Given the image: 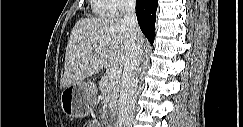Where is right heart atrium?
<instances>
[{
  "instance_id": "obj_1",
  "label": "right heart atrium",
  "mask_w": 243,
  "mask_h": 127,
  "mask_svg": "<svg viewBox=\"0 0 243 127\" xmlns=\"http://www.w3.org/2000/svg\"><path fill=\"white\" fill-rule=\"evenodd\" d=\"M111 3L110 14L113 16L123 15L130 10L133 5V0H108Z\"/></svg>"
}]
</instances>
